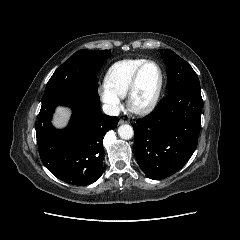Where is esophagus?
I'll return each mask as SVG.
<instances>
[{
  "instance_id": "esophagus-1",
  "label": "esophagus",
  "mask_w": 240,
  "mask_h": 240,
  "mask_svg": "<svg viewBox=\"0 0 240 240\" xmlns=\"http://www.w3.org/2000/svg\"><path fill=\"white\" fill-rule=\"evenodd\" d=\"M128 121L124 120V119H120L119 124H124L127 123Z\"/></svg>"
}]
</instances>
